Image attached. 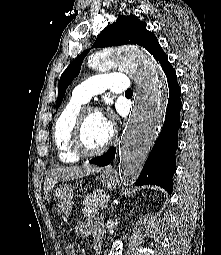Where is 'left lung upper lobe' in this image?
Returning <instances> with one entry per match:
<instances>
[{"label":"left lung upper lobe","mask_w":221,"mask_h":255,"mask_svg":"<svg viewBox=\"0 0 221 255\" xmlns=\"http://www.w3.org/2000/svg\"><path fill=\"white\" fill-rule=\"evenodd\" d=\"M137 44L147 49L153 56L161 48L155 35L146 29V23L135 15L118 17L115 23L108 25L97 37L93 48ZM89 49L81 53L62 73L58 83V98L56 109L60 106L66 88L78 76L81 64Z\"/></svg>","instance_id":"left-lung-upper-lobe-1"}]
</instances>
